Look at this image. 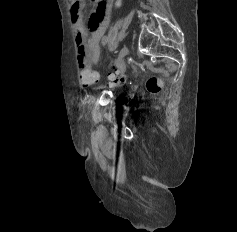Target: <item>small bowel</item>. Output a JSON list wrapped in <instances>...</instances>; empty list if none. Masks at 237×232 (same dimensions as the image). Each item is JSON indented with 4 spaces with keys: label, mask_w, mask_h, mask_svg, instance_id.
I'll list each match as a JSON object with an SVG mask.
<instances>
[{
    "label": "small bowel",
    "mask_w": 237,
    "mask_h": 232,
    "mask_svg": "<svg viewBox=\"0 0 237 232\" xmlns=\"http://www.w3.org/2000/svg\"><path fill=\"white\" fill-rule=\"evenodd\" d=\"M97 7L92 13L87 28L83 20L85 0H72L71 15L75 28L78 62L96 64L101 54V39L108 27L114 0H93Z\"/></svg>",
    "instance_id": "obj_1"
}]
</instances>
